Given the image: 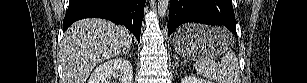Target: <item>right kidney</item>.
<instances>
[{
    "mask_svg": "<svg viewBox=\"0 0 307 83\" xmlns=\"http://www.w3.org/2000/svg\"><path fill=\"white\" fill-rule=\"evenodd\" d=\"M111 77L115 83H132L133 68L128 60L114 58L95 68L88 83H110Z\"/></svg>",
    "mask_w": 307,
    "mask_h": 83,
    "instance_id": "right-kidney-1",
    "label": "right kidney"
}]
</instances>
